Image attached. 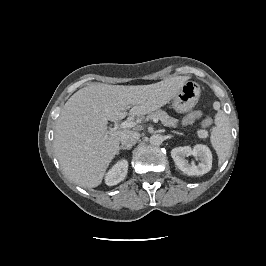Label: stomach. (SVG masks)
<instances>
[{"instance_id": "obj_1", "label": "stomach", "mask_w": 266, "mask_h": 266, "mask_svg": "<svg viewBox=\"0 0 266 266\" xmlns=\"http://www.w3.org/2000/svg\"><path fill=\"white\" fill-rule=\"evenodd\" d=\"M200 86L194 81H186L173 97L172 106L178 113L191 111L200 97Z\"/></svg>"}]
</instances>
